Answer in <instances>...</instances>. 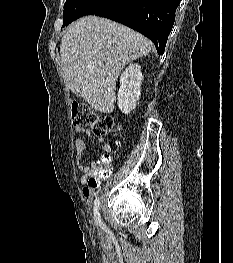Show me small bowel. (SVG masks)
Wrapping results in <instances>:
<instances>
[{
	"instance_id": "c3829d8e",
	"label": "small bowel",
	"mask_w": 233,
	"mask_h": 263,
	"mask_svg": "<svg viewBox=\"0 0 233 263\" xmlns=\"http://www.w3.org/2000/svg\"><path fill=\"white\" fill-rule=\"evenodd\" d=\"M77 133L80 134L83 138H79L75 141L76 165L82 172L80 181L84 185L83 195L87 201H91L96 189H89L88 179L94 172L95 163L84 164L82 158L87 148L84 138L92 139L94 137V133L90 128L80 127L77 128ZM95 140L100 145V148L103 152L109 153L111 151V147L109 144L105 143V137L103 135L96 136ZM98 182H100V180Z\"/></svg>"
}]
</instances>
